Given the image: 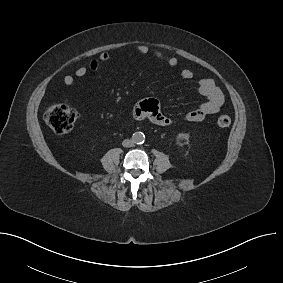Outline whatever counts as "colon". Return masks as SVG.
Returning a JSON list of instances; mask_svg holds the SVG:
<instances>
[{
    "mask_svg": "<svg viewBox=\"0 0 283 283\" xmlns=\"http://www.w3.org/2000/svg\"><path fill=\"white\" fill-rule=\"evenodd\" d=\"M44 118L53 131L66 134L72 130L77 112L67 103H54L45 109ZM217 124L222 128L228 127L231 124V118L223 114L218 117Z\"/></svg>",
    "mask_w": 283,
    "mask_h": 283,
    "instance_id": "5ec220e1",
    "label": "colon"
}]
</instances>
